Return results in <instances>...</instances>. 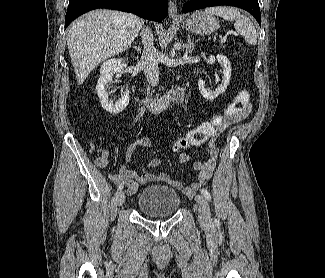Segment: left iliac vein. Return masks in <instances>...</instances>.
<instances>
[{"label": "left iliac vein", "instance_id": "left-iliac-vein-1", "mask_svg": "<svg viewBox=\"0 0 325 278\" xmlns=\"http://www.w3.org/2000/svg\"><path fill=\"white\" fill-rule=\"evenodd\" d=\"M195 200L198 206V220L203 225L211 222L210 208L206 198L202 195H196Z\"/></svg>", "mask_w": 325, "mask_h": 278}]
</instances>
